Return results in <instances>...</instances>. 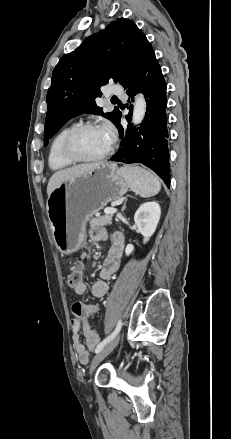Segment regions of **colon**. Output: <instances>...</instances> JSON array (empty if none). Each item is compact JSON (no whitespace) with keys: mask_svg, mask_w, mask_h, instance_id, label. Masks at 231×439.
Returning a JSON list of instances; mask_svg holds the SVG:
<instances>
[{"mask_svg":"<svg viewBox=\"0 0 231 439\" xmlns=\"http://www.w3.org/2000/svg\"><path fill=\"white\" fill-rule=\"evenodd\" d=\"M84 276L85 269L80 260H73L71 268L68 269V283L72 288V295H77L75 292L76 283H87L85 279H83ZM72 328L75 332L79 331V325L75 320L72 321Z\"/></svg>","mask_w":231,"mask_h":439,"instance_id":"colon-1","label":"colon"}]
</instances>
